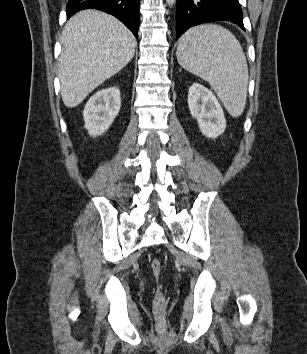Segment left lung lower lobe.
<instances>
[{"instance_id":"obj_1","label":"left lung lower lobe","mask_w":307,"mask_h":354,"mask_svg":"<svg viewBox=\"0 0 307 354\" xmlns=\"http://www.w3.org/2000/svg\"><path fill=\"white\" fill-rule=\"evenodd\" d=\"M212 21H229L245 30L238 0H177V39L190 27Z\"/></svg>"}]
</instances>
